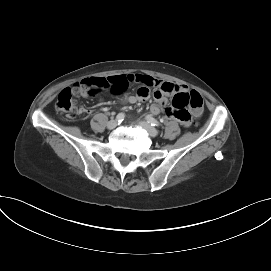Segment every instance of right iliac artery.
<instances>
[{
  "label": "right iliac artery",
  "mask_w": 271,
  "mask_h": 271,
  "mask_svg": "<svg viewBox=\"0 0 271 271\" xmlns=\"http://www.w3.org/2000/svg\"><path fill=\"white\" fill-rule=\"evenodd\" d=\"M125 118V114L124 113H119L117 116H116V120L121 123Z\"/></svg>",
  "instance_id": "right-iliac-artery-1"
}]
</instances>
